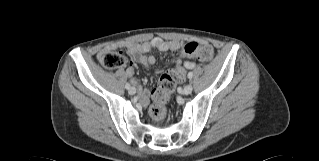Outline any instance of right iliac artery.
Returning <instances> with one entry per match:
<instances>
[{
    "label": "right iliac artery",
    "mask_w": 319,
    "mask_h": 161,
    "mask_svg": "<svg viewBox=\"0 0 319 161\" xmlns=\"http://www.w3.org/2000/svg\"><path fill=\"white\" fill-rule=\"evenodd\" d=\"M125 87H126L127 89H129V88H130V84L127 83V84L125 85Z\"/></svg>",
    "instance_id": "right-iliac-artery-1"
}]
</instances>
